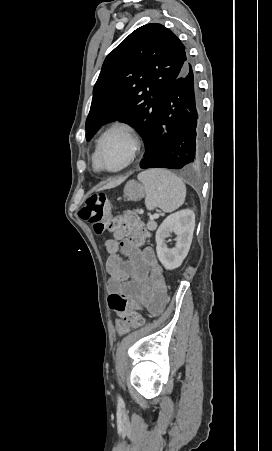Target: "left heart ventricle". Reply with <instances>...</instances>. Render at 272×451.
Instances as JSON below:
<instances>
[{"label": "left heart ventricle", "instance_id": "left-heart-ventricle-1", "mask_svg": "<svg viewBox=\"0 0 272 451\" xmlns=\"http://www.w3.org/2000/svg\"><path fill=\"white\" fill-rule=\"evenodd\" d=\"M128 159V150L124 140L117 134L109 136L104 142L100 154L99 164L106 170L120 169Z\"/></svg>", "mask_w": 272, "mask_h": 451}]
</instances>
